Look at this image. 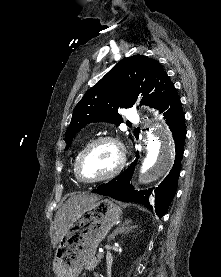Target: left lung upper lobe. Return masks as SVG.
Instances as JSON below:
<instances>
[{
    "label": "left lung upper lobe",
    "mask_w": 221,
    "mask_h": 277,
    "mask_svg": "<svg viewBox=\"0 0 221 277\" xmlns=\"http://www.w3.org/2000/svg\"><path fill=\"white\" fill-rule=\"evenodd\" d=\"M174 88L158 61L134 55L113 67L95 86L89 89L74 109L65 134L69 148L77 131L91 122H123L121 108L132 107L139 93L141 104L156 108Z\"/></svg>",
    "instance_id": "obj_1"
}]
</instances>
